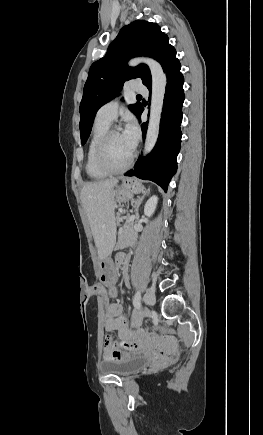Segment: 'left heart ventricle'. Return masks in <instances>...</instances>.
I'll use <instances>...</instances> for the list:
<instances>
[{
  "mask_svg": "<svg viewBox=\"0 0 263 435\" xmlns=\"http://www.w3.org/2000/svg\"><path fill=\"white\" fill-rule=\"evenodd\" d=\"M133 150L128 146L121 133L115 134L111 137L107 151L106 159L113 167H120L124 165Z\"/></svg>",
  "mask_w": 263,
  "mask_h": 435,
  "instance_id": "left-heart-ventricle-1",
  "label": "left heart ventricle"
}]
</instances>
